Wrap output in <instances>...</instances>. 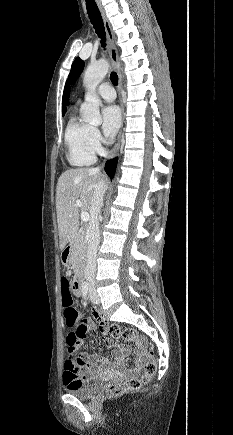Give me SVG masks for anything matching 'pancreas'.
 Returning a JSON list of instances; mask_svg holds the SVG:
<instances>
[{
  "mask_svg": "<svg viewBox=\"0 0 233 435\" xmlns=\"http://www.w3.org/2000/svg\"><path fill=\"white\" fill-rule=\"evenodd\" d=\"M85 231L81 229L71 245L70 263L75 272L80 271L85 259Z\"/></svg>",
  "mask_w": 233,
  "mask_h": 435,
  "instance_id": "obj_1",
  "label": "pancreas"
}]
</instances>
